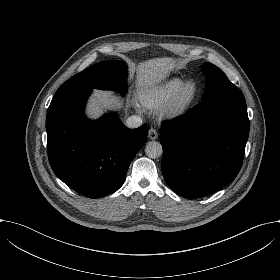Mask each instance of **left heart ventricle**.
Instances as JSON below:
<instances>
[{
    "label": "left heart ventricle",
    "instance_id": "obj_1",
    "mask_svg": "<svg viewBox=\"0 0 280 280\" xmlns=\"http://www.w3.org/2000/svg\"><path fill=\"white\" fill-rule=\"evenodd\" d=\"M196 93V84L195 82H190L185 88L183 100L187 101L190 100L192 97H194Z\"/></svg>",
    "mask_w": 280,
    "mask_h": 280
}]
</instances>
